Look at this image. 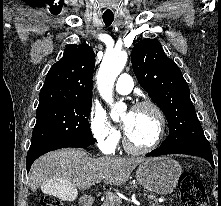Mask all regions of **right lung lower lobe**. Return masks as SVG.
<instances>
[{"label": "right lung lower lobe", "mask_w": 221, "mask_h": 206, "mask_svg": "<svg viewBox=\"0 0 221 206\" xmlns=\"http://www.w3.org/2000/svg\"><path fill=\"white\" fill-rule=\"evenodd\" d=\"M91 144L85 143V142H64L49 146L40 147L37 149L29 150L27 157H26V168L27 172L30 171L32 163L41 155L53 151L60 148H67V147H77V148H86L90 146Z\"/></svg>", "instance_id": "98d812e1"}]
</instances>
